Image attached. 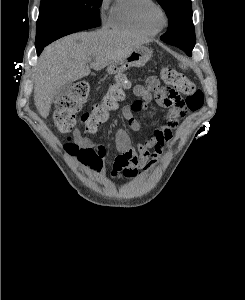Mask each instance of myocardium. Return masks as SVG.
Segmentation results:
<instances>
[{"label": "myocardium", "instance_id": "obj_1", "mask_svg": "<svg viewBox=\"0 0 245 300\" xmlns=\"http://www.w3.org/2000/svg\"><path fill=\"white\" fill-rule=\"evenodd\" d=\"M150 1H151L150 3L146 4L142 8L140 17H141V21L144 24V26L146 28H148L149 30L156 33L158 31H161L168 25V16L162 6L153 2L152 0H150ZM153 12H157L159 14V16H160L159 24H156L153 22V20H152Z\"/></svg>", "mask_w": 245, "mask_h": 300}]
</instances>
